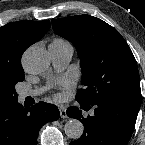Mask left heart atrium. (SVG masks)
I'll list each match as a JSON object with an SVG mask.
<instances>
[{"mask_svg": "<svg viewBox=\"0 0 145 145\" xmlns=\"http://www.w3.org/2000/svg\"><path fill=\"white\" fill-rule=\"evenodd\" d=\"M64 84H65L66 86H68V85L70 84V82H69L68 80H65V81H64Z\"/></svg>", "mask_w": 145, "mask_h": 145, "instance_id": "left-heart-atrium-1", "label": "left heart atrium"}]
</instances>
